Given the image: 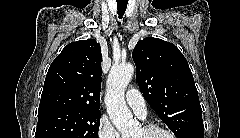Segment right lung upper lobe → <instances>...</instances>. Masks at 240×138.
I'll list each match as a JSON object with an SVG mask.
<instances>
[{
    "label": "right lung upper lobe",
    "instance_id": "1",
    "mask_svg": "<svg viewBox=\"0 0 240 138\" xmlns=\"http://www.w3.org/2000/svg\"><path fill=\"white\" fill-rule=\"evenodd\" d=\"M101 48L94 39L64 47L51 63L38 115L57 110L99 111Z\"/></svg>",
    "mask_w": 240,
    "mask_h": 138
}]
</instances>
